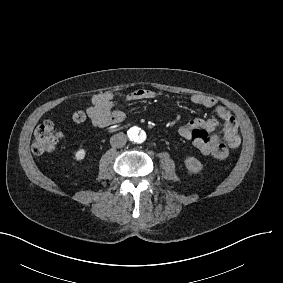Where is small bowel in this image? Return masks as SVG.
I'll return each instance as SVG.
<instances>
[{
	"instance_id": "small-bowel-1",
	"label": "small bowel",
	"mask_w": 283,
	"mask_h": 283,
	"mask_svg": "<svg viewBox=\"0 0 283 283\" xmlns=\"http://www.w3.org/2000/svg\"><path fill=\"white\" fill-rule=\"evenodd\" d=\"M160 94L157 91L149 89H135L124 93L120 91H105L95 94L92 97L91 105L87 113L92 123L99 128H106L122 123L126 118V113L122 110L114 109V106L120 101L139 102L157 99ZM192 102L206 108L213 109L215 117L208 119H195L179 127L178 132L181 137L187 139V131L191 127L203 128L207 133L214 137L213 151L210 155L218 160H225L231 150L236 149L241 144V135L238 130V124L235 116L226 107L219 104L216 98L204 95L194 94ZM222 125V136L213 134L219 125Z\"/></svg>"
}]
</instances>
